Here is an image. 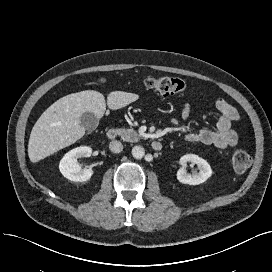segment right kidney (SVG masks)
<instances>
[{"label":"right kidney","mask_w":272,"mask_h":272,"mask_svg":"<svg viewBox=\"0 0 272 272\" xmlns=\"http://www.w3.org/2000/svg\"><path fill=\"white\" fill-rule=\"evenodd\" d=\"M92 149L88 146H80L67 152L61 159L59 169L62 175L74 182H85L91 178L94 171L90 168L82 169L77 162L78 158L90 157Z\"/></svg>","instance_id":"ca27d5eb"}]
</instances>
